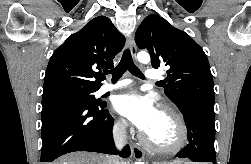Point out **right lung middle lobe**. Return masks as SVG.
I'll return each mask as SVG.
<instances>
[{"label":"right lung middle lobe","mask_w":251,"mask_h":164,"mask_svg":"<svg viewBox=\"0 0 251 164\" xmlns=\"http://www.w3.org/2000/svg\"><path fill=\"white\" fill-rule=\"evenodd\" d=\"M97 90L75 87H62L43 92L42 105L55 102H72L97 105L94 92Z\"/></svg>","instance_id":"right-lung-middle-lobe-1"}]
</instances>
